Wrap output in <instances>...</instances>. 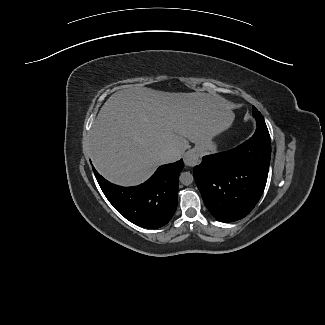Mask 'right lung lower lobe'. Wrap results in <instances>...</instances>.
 Listing matches in <instances>:
<instances>
[{
	"label": "right lung lower lobe",
	"mask_w": 325,
	"mask_h": 325,
	"mask_svg": "<svg viewBox=\"0 0 325 325\" xmlns=\"http://www.w3.org/2000/svg\"><path fill=\"white\" fill-rule=\"evenodd\" d=\"M183 167L182 159L162 165L135 187L114 185L93 171L106 198L122 216L143 228H159L169 222L177 208L178 177Z\"/></svg>",
	"instance_id": "obj_1"
}]
</instances>
